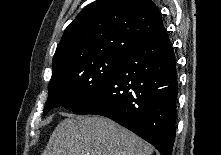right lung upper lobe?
Listing matches in <instances>:
<instances>
[{
	"label": "right lung upper lobe",
	"mask_w": 221,
	"mask_h": 155,
	"mask_svg": "<svg viewBox=\"0 0 221 155\" xmlns=\"http://www.w3.org/2000/svg\"><path fill=\"white\" fill-rule=\"evenodd\" d=\"M165 30L151 0H97L66 28L52 61V74L80 60L127 54L140 41Z\"/></svg>",
	"instance_id": "obj_1"
}]
</instances>
